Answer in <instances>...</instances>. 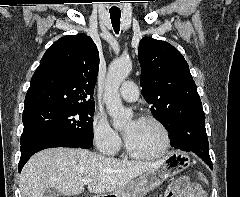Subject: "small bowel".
Returning <instances> with one entry per match:
<instances>
[{
    "instance_id": "1",
    "label": "small bowel",
    "mask_w": 240,
    "mask_h": 197,
    "mask_svg": "<svg viewBox=\"0 0 240 197\" xmlns=\"http://www.w3.org/2000/svg\"><path fill=\"white\" fill-rule=\"evenodd\" d=\"M166 197H207V193L198 184L183 180L169 188Z\"/></svg>"
}]
</instances>
